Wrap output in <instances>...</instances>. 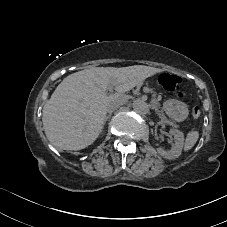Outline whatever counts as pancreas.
<instances>
[{
	"mask_svg": "<svg viewBox=\"0 0 227 227\" xmlns=\"http://www.w3.org/2000/svg\"><path fill=\"white\" fill-rule=\"evenodd\" d=\"M163 119H165V121L172 127L174 128L176 125L174 123H172V121L167 117L165 116L163 113L160 115Z\"/></svg>",
	"mask_w": 227,
	"mask_h": 227,
	"instance_id": "obj_1",
	"label": "pancreas"
}]
</instances>
